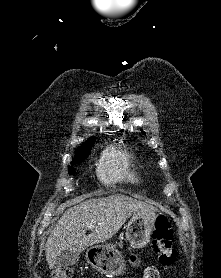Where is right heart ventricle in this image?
I'll list each match as a JSON object with an SVG mask.
<instances>
[{
	"mask_svg": "<svg viewBox=\"0 0 221 278\" xmlns=\"http://www.w3.org/2000/svg\"><path fill=\"white\" fill-rule=\"evenodd\" d=\"M98 173L107 184H139L141 182V174L133 154L121 147H111L105 151Z\"/></svg>",
	"mask_w": 221,
	"mask_h": 278,
	"instance_id": "e07e8e85",
	"label": "right heart ventricle"
}]
</instances>
